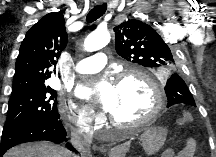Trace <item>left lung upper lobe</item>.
Here are the masks:
<instances>
[{"label":"left lung upper lobe","mask_w":216,"mask_h":157,"mask_svg":"<svg viewBox=\"0 0 216 157\" xmlns=\"http://www.w3.org/2000/svg\"><path fill=\"white\" fill-rule=\"evenodd\" d=\"M115 48L118 55L129 62L136 63L153 70H160L162 74H169L165 86L168 104H187L195 106V101L186 83L178 75L181 64H177L176 49H172L170 39H163L159 35V27L136 20L128 19L116 25Z\"/></svg>","instance_id":"1"}]
</instances>
